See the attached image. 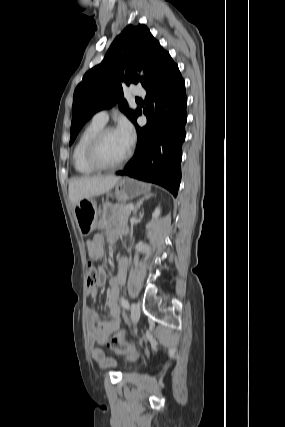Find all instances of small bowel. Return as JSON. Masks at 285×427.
Masks as SVG:
<instances>
[{"instance_id": "obj_1", "label": "small bowel", "mask_w": 285, "mask_h": 427, "mask_svg": "<svg viewBox=\"0 0 285 427\" xmlns=\"http://www.w3.org/2000/svg\"><path fill=\"white\" fill-rule=\"evenodd\" d=\"M104 237L101 234H95L88 242L87 249L91 258L99 260L103 257ZM127 262L123 260L119 266L117 276L109 280L110 293L106 300L110 320L102 321L100 315L90 309L88 311V340L91 346V357L102 366L111 364L104 352V346L109 338L121 327V311L118 305V297L121 285L126 276ZM106 281V272L100 267L97 275V282L94 287L88 289V297L95 298L98 288L103 286Z\"/></svg>"}]
</instances>
